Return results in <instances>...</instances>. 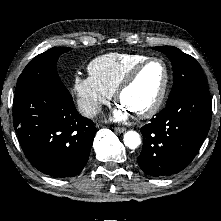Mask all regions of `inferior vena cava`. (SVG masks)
I'll return each mask as SVG.
<instances>
[{
	"label": "inferior vena cava",
	"mask_w": 221,
	"mask_h": 221,
	"mask_svg": "<svg viewBox=\"0 0 221 221\" xmlns=\"http://www.w3.org/2000/svg\"><path fill=\"white\" fill-rule=\"evenodd\" d=\"M79 112L85 117L93 118L101 112V105L83 100L79 103Z\"/></svg>",
	"instance_id": "602c4592"
}]
</instances>
